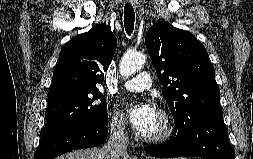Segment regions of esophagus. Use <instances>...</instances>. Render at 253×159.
I'll use <instances>...</instances> for the list:
<instances>
[{
  "mask_svg": "<svg viewBox=\"0 0 253 159\" xmlns=\"http://www.w3.org/2000/svg\"><path fill=\"white\" fill-rule=\"evenodd\" d=\"M134 7H137L138 1L137 0H128Z\"/></svg>",
  "mask_w": 253,
  "mask_h": 159,
  "instance_id": "esophagus-1",
  "label": "esophagus"
}]
</instances>
